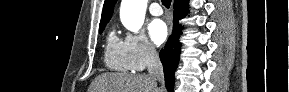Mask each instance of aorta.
Instances as JSON below:
<instances>
[{
    "label": "aorta",
    "instance_id": "aorta-1",
    "mask_svg": "<svg viewBox=\"0 0 289 92\" xmlns=\"http://www.w3.org/2000/svg\"><path fill=\"white\" fill-rule=\"evenodd\" d=\"M147 0H122L120 19L125 28L138 32L145 19Z\"/></svg>",
    "mask_w": 289,
    "mask_h": 92
}]
</instances>
